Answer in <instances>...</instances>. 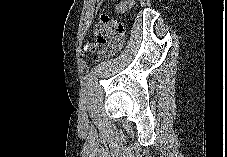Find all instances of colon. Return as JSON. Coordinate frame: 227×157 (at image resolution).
Wrapping results in <instances>:
<instances>
[{
	"label": "colon",
	"mask_w": 227,
	"mask_h": 157,
	"mask_svg": "<svg viewBox=\"0 0 227 157\" xmlns=\"http://www.w3.org/2000/svg\"><path fill=\"white\" fill-rule=\"evenodd\" d=\"M95 34L97 40L86 50L94 60H98L116 54L124 42L125 28L123 24L101 16L95 26Z\"/></svg>",
	"instance_id": "5ec220e1"
}]
</instances>
